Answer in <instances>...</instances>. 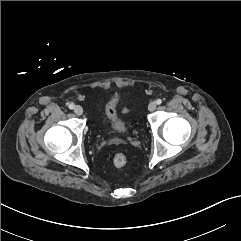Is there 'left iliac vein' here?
Instances as JSON below:
<instances>
[{
    "mask_svg": "<svg viewBox=\"0 0 241 241\" xmlns=\"http://www.w3.org/2000/svg\"><path fill=\"white\" fill-rule=\"evenodd\" d=\"M156 106V102H150L148 105V110L152 112L156 109Z\"/></svg>",
    "mask_w": 241,
    "mask_h": 241,
    "instance_id": "1",
    "label": "left iliac vein"
}]
</instances>
